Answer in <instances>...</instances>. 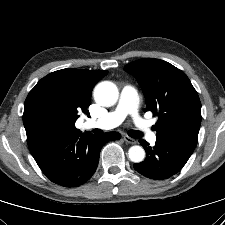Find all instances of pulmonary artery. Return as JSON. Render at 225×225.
I'll return each mask as SVG.
<instances>
[{
  "instance_id": "pulmonary-artery-1",
  "label": "pulmonary artery",
  "mask_w": 225,
  "mask_h": 225,
  "mask_svg": "<svg viewBox=\"0 0 225 225\" xmlns=\"http://www.w3.org/2000/svg\"><path fill=\"white\" fill-rule=\"evenodd\" d=\"M127 116H131L140 132L151 142H156V136L151 130L150 123L138 114V94L134 87L125 86L120 93L119 101L114 110L98 120L86 123L88 128L98 127L111 129L120 125Z\"/></svg>"
}]
</instances>
